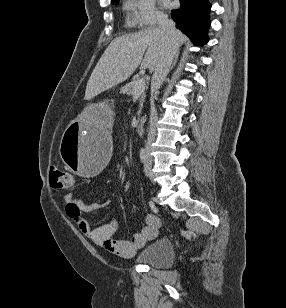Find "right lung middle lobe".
I'll list each match as a JSON object with an SVG mask.
<instances>
[{
	"instance_id": "right-lung-middle-lobe-1",
	"label": "right lung middle lobe",
	"mask_w": 286,
	"mask_h": 308,
	"mask_svg": "<svg viewBox=\"0 0 286 308\" xmlns=\"http://www.w3.org/2000/svg\"><path fill=\"white\" fill-rule=\"evenodd\" d=\"M118 2H119V0H114V1H112V4H118Z\"/></svg>"
}]
</instances>
